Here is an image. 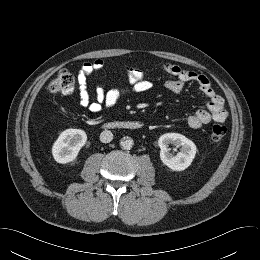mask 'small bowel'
<instances>
[{"label":"small bowel","instance_id":"c3829d8e","mask_svg":"<svg viewBox=\"0 0 260 260\" xmlns=\"http://www.w3.org/2000/svg\"><path fill=\"white\" fill-rule=\"evenodd\" d=\"M104 61L98 59L92 62H85L77 73L78 98L81 107L87 109L92 114H98L103 109H111L117 101L126 95L143 94L151 89V83L145 78L142 69L138 67H128L125 70L128 86L106 90L103 86H98L95 91L96 99L91 100L88 89V77L104 70ZM161 69L171 75L173 79L164 82L163 87L171 93H179L184 90L190 82L198 84L201 92L209 99L206 109H199L188 118V125L191 128H199L210 121L224 122L228 113L224 109V100L218 95L209 81V79L197 72L187 70L179 65L165 63Z\"/></svg>","mask_w":260,"mask_h":260}]
</instances>
